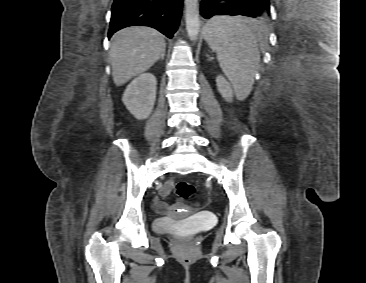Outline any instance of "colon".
<instances>
[{"label": "colon", "mask_w": 366, "mask_h": 283, "mask_svg": "<svg viewBox=\"0 0 366 283\" xmlns=\"http://www.w3.org/2000/svg\"><path fill=\"white\" fill-rule=\"evenodd\" d=\"M175 191L177 196L185 201L192 200L196 195L195 187L191 183L186 181L178 182Z\"/></svg>", "instance_id": "obj_1"}]
</instances>
